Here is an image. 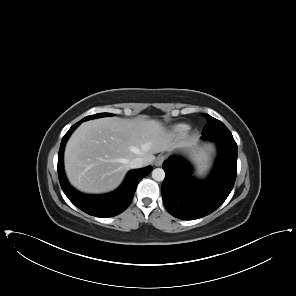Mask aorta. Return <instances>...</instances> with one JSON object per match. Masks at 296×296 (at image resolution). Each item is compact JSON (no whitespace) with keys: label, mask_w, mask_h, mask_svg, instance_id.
Listing matches in <instances>:
<instances>
[{"label":"aorta","mask_w":296,"mask_h":296,"mask_svg":"<svg viewBox=\"0 0 296 296\" xmlns=\"http://www.w3.org/2000/svg\"><path fill=\"white\" fill-rule=\"evenodd\" d=\"M152 178L155 181H163L165 178V172L162 168H156L152 171Z\"/></svg>","instance_id":"1"}]
</instances>
